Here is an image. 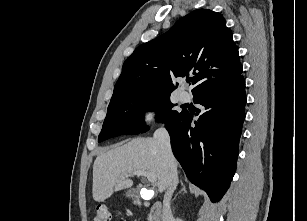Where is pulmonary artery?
I'll use <instances>...</instances> for the list:
<instances>
[{
    "label": "pulmonary artery",
    "instance_id": "obj_1",
    "mask_svg": "<svg viewBox=\"0 0 307 221\" xmlns=\"http://www.w3.org/2000/svg\"><path fill=\"white\" fill-rule=\"evenodd\" d=\"M179 99L181 102H187L190 99V94L187 91H182L179 94Z\"/></svg>",
    "mask_w": 307,
    "mask_h": 221
}]
</instances>
